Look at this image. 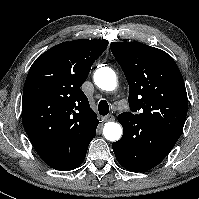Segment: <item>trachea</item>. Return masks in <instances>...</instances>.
Listing matches in <instances>:
<instances>
[{"label": "trachea", "mask_w": 199, "mask_h": 199, "mask_svg": "<svg viewBox=\"0 0 199 199\" xmlns=\"http://www.w3.org/2000/svg\"><path fill=\"white\" fill-rule=\"evenodd\" d=\"M98 111L101 115L105 116L109 113V105L106 100H101L98 104Z\"/></svg>", "instance_id": "trachea-1"}]
</instances>
